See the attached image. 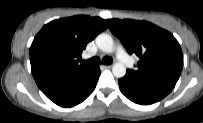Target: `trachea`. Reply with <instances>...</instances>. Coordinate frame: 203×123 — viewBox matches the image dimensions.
Segmentation results:
<instances>
[{"label": "trachea", "instance_id": "obj_1", "mask_svg": "<svg viewBox=\"0 0 203 123\" xmlns=\"http://www.w3.org/2000/svg\"><path fill=\"white\" fill-rule=\"evenodd\" d=\"M113 62L112 58L110 57H104L102 59V63L106 65H110ZM101 63V60L99 57H93L87 61H82V64L84 65H98Z\"/></svg>", "mask_w": 203, "mask_h": 123}]
</instances>
